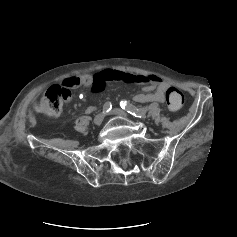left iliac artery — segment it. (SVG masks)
Returning <instances> with one entry per match:
<instances>
[{"mask_svg":"<svg viewBox=\"0 0 237 237\" xmlns=\"http://www.w3.org/2000/svg\"><path fill=\"white\" fill-rule=\"evenodd\" d=\"M120 106L122 109H124L126 112L132 114L135 117L143 118L145 113L148 110H152L157 108L159 105L158 103H152L149 107L146 108H137L132 104L127 103L126 101H121Z\"/></svg>","mask_w":237,"mask_h":237,"instance_id":"1","label":"left iliac artery"}]
</instances>
